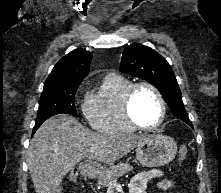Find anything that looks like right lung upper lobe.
I'll return each instance as SVG.
<instances>
[{"label": "right lung upper lobe", "instance_id": "1", "mask_svg": "<svg viewBox=\"0 0 221 193\" xmlns=\"http://www.w3.org/2000/svg\"><path fill=\"white\" fill-rule=\"evenodd\" d=\"M92 54L76 49L64 56L45 81L44 89L79 86L89 72Z\"/></svg>", "mask_w": 221, "mask_h": 193}]
</instances>
